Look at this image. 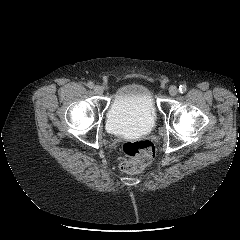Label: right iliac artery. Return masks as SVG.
Segmentation results:
<instances>
[{"label":"right iliac artery","mask_w":240,"mask_h":240,"mask_svg":"<svg viewBox=\"0 0 240 240\" xmlns=\"http://www.w3.org/2000/svg\"><path fill=\"white\" fill-rule=\"evenodd\" d=\"M87 86H88L89 88H93V87H94V84H93L92 82H88V83H87Z\"/></svg>","instance_id":"right-iliac-artery-1"}]
</instances>
